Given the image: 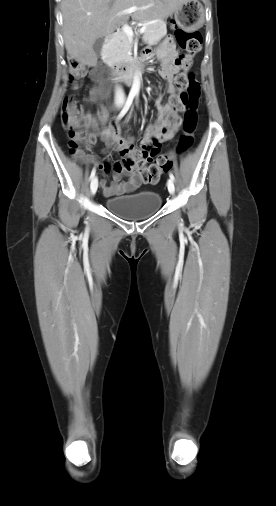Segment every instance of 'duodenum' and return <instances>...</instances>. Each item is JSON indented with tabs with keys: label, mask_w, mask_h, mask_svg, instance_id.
I'll list each match as a JSON object with an SVG mask.
<instances>
[{
	"label": "duodenum",
	"mask_w": 276,
	"mask_h": 506,
	"mask_svg": "<svg viewBox=\"0 0 276 506\" xmlns=\"http://www.w3.org/2000/svg\"><path fill=\"white\" fill-rule=\"evenodd\" d=\"M112 40H113V34L110 33L105 36L104 44L108 45ZM144 63H145L144 54L140 58H138L130 63H123V62L112 63L111 67L113 69L114 79H117L120 81H130V80L135 79L137 73L142 69Z\"/></svg>",
	"instance_id": "obj_1"
}]
</instances>
